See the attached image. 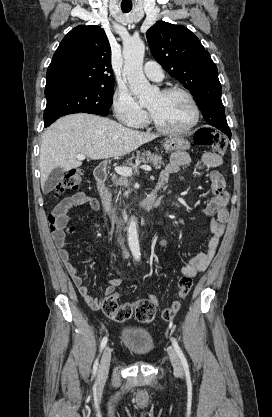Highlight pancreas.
I'll use <instances>...</instances> for the list:
<instances>
[{"instance_id": "cf45deb5", "label": "pancreas", "mask_w": 272, "mask_h": 417, "mask_svg": "<svg viewBox=\"0 0 272 417\" xmlns=\"http://www.w3.org/2000/svg\"><path fill=\"white\" fill-rule=\"evenodd\" d=\"M137 159L142 160L144 163H152L156 169H160L164 162L161 156L154 155L150 152L138 154ZM113 183L115 186H128V179L124 176H114Z\"/></svg>"}]
</instances>
